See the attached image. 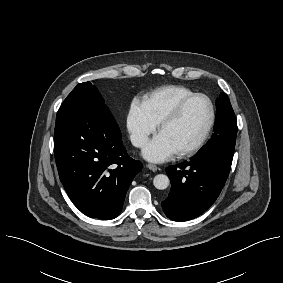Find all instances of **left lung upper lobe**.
<instances>
[{"instance_id":"left-lung-upper-lobe-1","label":"left lung upper lobe","mask_w":283,"mask_h":283,"mask_svg":"<svg viewBox=\"0 0 283 283\" xmlns=\"http://www.w3.org/2000/svg\"><path fill=\"white\" fill-rule=\"evenodd\" d=\"M216 121L214 134L203 149L218 148L233 154L237 135V121L230 104L229 98L225 93H221L216 101Z\"/></svg>"}]
</instances>
